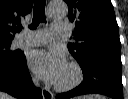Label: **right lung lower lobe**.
I'll list each match as a JSON object with an SVG mask.
<instances>
[{
	"mask_svg": "<svg viewBox=\"0 0 128 99\" xmlns=\"http://www.w3.org/2000/svg\"><path fill=\"white\" fill-rule=\"evenodd\" d=\"M0 91L18 99H42L41 90L32 83L23 53L15 61H0Z\"/></svg>",
	"mask_w": 128,
	"mask_h": 99,
	"instance_id": "98d812e1",
	"label": "right lung lower lobe"
}]
</instances>
